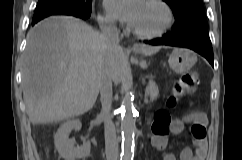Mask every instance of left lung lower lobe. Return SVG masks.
I'll return each mask as SVG.
<instances>
[{
  "label": "left lung lower lobe",
  "mask_w": 242,
  "mask_h": 160,
  "mask_svg": "<svg viewBox=\"0 0 242 160\" xmlns=\"http://www.w3.org/2000/svg\"><path fill=\"white\" fill-rule=\"evenodd\" d=\"M150 45H169L190 48L204 56L213 66V50L207 30H193L181 36L174 37L165 34L162 38L144 41Z\"/></svg>",
  "instance_id": "obj_1"
}]
</instances>
